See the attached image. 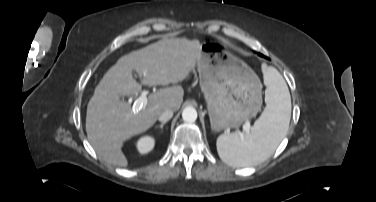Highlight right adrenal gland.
Returning a JSON list of instances; mask_svg holds the SVG:
<instances>
[{
    "label": "right adrenal gland",
    "instance_id": "1",
    "mask_svg": "<svg viewBox=\"0 0 376 202\" xmlns=\"http://www.w3.org/2000/svg\"><path fill=\"white\" fill-rule=\"evenodd\" d=\"M166 123L165 122H163V123H161V125L160 126H158V127H160L161 129H163V126L165 125Z\"/></svg>",
    "mask_w": 376,
    "mask_h": 202
}]
</instances>
